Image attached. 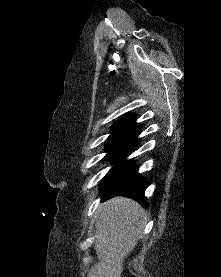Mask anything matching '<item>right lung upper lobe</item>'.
Listing matches in <instances>:
<instances>
[{
	"instance_id": "1",
	"label": "right lung upper lobe",
	"mask_w": 221,
	"mask_h": 277,
	"mask_svg": "<svg viewBox=\"0 0 221 277\" xmlns=\"http://www.w3.org/2000/svg\"><path fill=\"white\" fill-rule=\"evenodd\" d=\"M122 120L115 123L113 126H123V125H137L132 114H127L121 117Z\"/></svg>"
}]
</instances>
